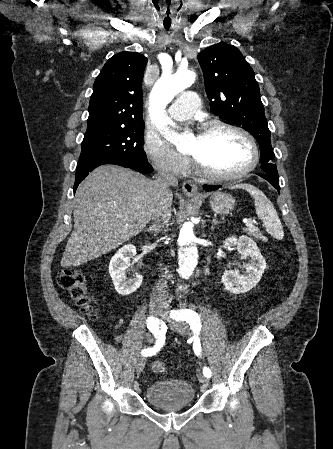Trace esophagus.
Here are the masks:
<instances>
[{"mask_svg":"<svg viewBox=\"0 0 333 449\" xmlns=\"http://www.w3.org/2000/svg\"><path fill=\"white\" fill-rule=\"evenodd\" d=\"M182 189L188 196L197 195V186L195 184H192L191 182H184L182 185Z\"/></svg>","mask_w":333,"mask_h":449,"instance_id":"esophagus-1","label":"esophagus"}]
</instances>
